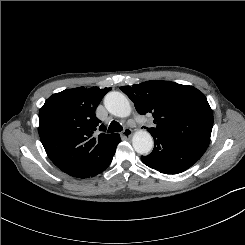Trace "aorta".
Wrapping results in <instances>:
<instances>
[{"mask_svg": "<svg viewBox=\"0 0 245 245\" xmlns=\"http://www.w3.org/2000/svg\"><path fill=\"white\" fill-rule=\"evenodd\" d=\"M104 105L109 113L117 117H127L131 113V106L126 96L120 92H109L104 98ZM134 150L139 154H148L153 148V139L145 130L137 131L132 138Z\"/></svg>", "mask_w": 245, "mask_h": 245, "instance_id": "aorta-1", "label": "aorta"}]
</instances>
